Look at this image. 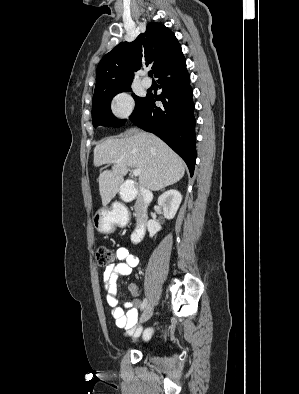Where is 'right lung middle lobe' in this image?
I'll list each match as a JSON object with an SVG mask.
<instances>
[{"mask_svg":"<svg viewBox=\"0 0 299 394\" xmlns=\"http://www.w3.org/2000/svg\"><path fill=\"white\" fill-rule=\"evenodd\" d=\"M124 91H131V85L102 90L94 93L92 100V122L93 125H103V126H111V127H120L125 123V120H119L111 112L110 102L112 98ZM132 96L135 99L136 106L135 110L142 104L144 98L138 97L134 94ZM134 110V111H135Z\"/></svg>","mask_w":299,"mask_h":394,"instance_id":"right-lung-middle-lobe-1","label":"right lung middle lobe"}]
</instances>
